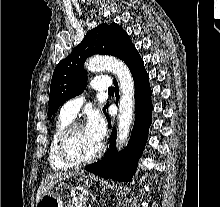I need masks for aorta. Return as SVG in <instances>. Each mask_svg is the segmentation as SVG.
<instances>
[{"instance_id":"aorta-1","label":"aorta","mask_w":220,"mask_h":207,"mask_svg":"<svg viewBox=\"0 0 220 207\" xmlns=\"http://www.w3.org/2000/svg\"><path fill=\"white\" fill-rule=\"evenodd\" d=\"M89 71L108 70L119 81L120 99L116 146L120 150L126 143L134 116V81L128 67L121 60L112 56L92 57L85 63Z\"/></svg>"}]
</instances>
